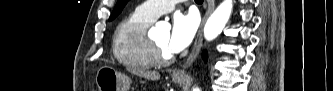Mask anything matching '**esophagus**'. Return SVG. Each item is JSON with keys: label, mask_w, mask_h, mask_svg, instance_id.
Returning <instances> with one entry per match:
<instances>
[{"label": "esophagus", "mask_w": 333, "mask_h": 91, "mask_svg": "<svg viewBox=\"0 0 333 91\" xmlns=\"http://www.w3.org/2000/svg\"><path fill=\"white\" fill-rule=\"evenodd\" d=\"M207 10L206 13L203 17L202 23L200 25L199 31L197 33V37L194 43V46L187 58V60L185 61V63L183 64V66L177 70L174 71L173 76L174 77H184L186 75V69L193 63V61L196 59V57L198 56L201 46H202V41H203V28L204 25L207 21V19L209 18L210 14L213 12L214 7H215V1L214 0H207Z\"/></svg>", "instance_id": "34e87169"}]
</instances>
